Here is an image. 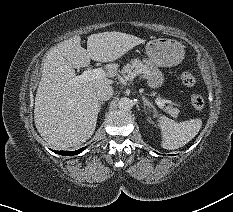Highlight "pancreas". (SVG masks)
I'll use <instances>...</instances> for the list:
<instances>
[{
    "instance_id": "1",
    "label": "pancreas",
    "mask_w": 233,
    "mask_h": 212,
    "mask_svg": "<svg viewBox=\"0 0 233 212\" xmlns=\"http://www.w3.org/2000/svg\"><path fill=\"white\" fill-rule=\"evenodd\" d=\"M150 72V67L147 64H144L139 59H134L131 61V64H127L122 69V74L126 78H134L136 76H145ZM165 111L172 116L177 117L179 110L173 108L171 105H168L165 108Z\"/></svg>"
}]
</instances>
